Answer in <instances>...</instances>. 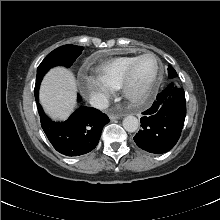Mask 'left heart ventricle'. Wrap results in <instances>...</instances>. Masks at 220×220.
<instances>
[{"mask_svg":"<svg viewBox=\"0 0 220 220\" xmlns=\"http://www.w3.org/2000/svg\"><path fill=\"white\" fill-rule=\"evenodd\" d=\"M157 72V61L153 56H146L136 66L131 90L141 92L154 78Z\"/></svg>","mask_w":220,"mask_h":220,"instance_id":"left-heart-ventricle-1","label":"left heart ventricle"}]
</instances>
